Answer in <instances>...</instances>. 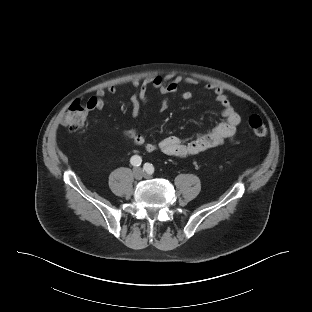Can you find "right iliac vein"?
Returning a JSON list of instances; mask_svg holds the SVG:
<instances>
[{
  "instance_id": "63e3f726",
  "label": "right iliac vein",
  "mask_w": 312,
  "mask_h": 312,
  "mask_svg": "<svg viewBox=\"0 0 312 312\" xmlns=\"http://www.w3.org/2000/svg\"><path fill=\"white\" fill-rule=\"evenodd\" d=\"M143 171L140 168H135L133 171V175L135 177V179H141L143 177Z\"/></svg>"
}]
</instances>
